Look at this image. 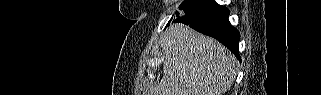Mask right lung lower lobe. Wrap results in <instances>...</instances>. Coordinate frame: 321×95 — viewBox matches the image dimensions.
<instances>
[{
  "mask_svg": "<svg viewBox=\"0 0 321 95\" xmlns=\"http://www.w3.org/2000/svg\"><path fill=\"white\" fill-rule=\"evenodd\" d=\"M230 11L225 6L212 2L202 10L182 17L174 22L190 25L193 29L209 35L225 45L240 60L239 40L240 34L229 20Z\"/></svg>",
  "mask_w": 321,
  "mask_h": 95,
  "instance_id": "1",
  "label": "right lung lower lobe"
}]
</instances>
